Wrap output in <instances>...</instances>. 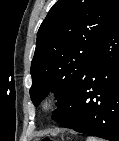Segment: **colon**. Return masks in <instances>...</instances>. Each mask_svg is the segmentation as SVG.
<instances>
[{
	"label": "colon",
	"instance_id": "colon-1",
	"mask_svg": "<svg viewBox=\"0 0 119 141\" xmlns=\"http://www.w3.org/2000/svg\"><path fill=\"white\" fill-rule=\"evenodd\" d=\"M44 141H51V139H49V138H45Z\"/></svg>",
	"mask_w": 119,
	"mask_h": 141
}]
</instances>
